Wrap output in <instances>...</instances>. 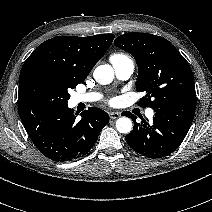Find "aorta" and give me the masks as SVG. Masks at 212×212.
I'll use <instances>...</instances> for the list:
<instances>
[{
  "instance_id": "762f6f07",
  "label": "aorta",
  "mask_w": 212,
  "mask_h": 212,
  "mask_svg": "<svg viewBox=\"0 0 212 212\" xmlns=\"http://www.w3.org/2000/svg\"><path fill=\"white\" fill-rule=\"evenodd\" d=\"M94 79L103 85L109 84L114 78V71L110 65H100L93 73ZM116 129L120 133L128 134L132 130V121L128 117H121L116 121Z\"/></svg>"
}]
</instances>
